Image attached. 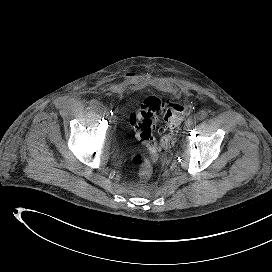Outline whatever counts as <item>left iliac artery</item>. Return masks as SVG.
Returning <instances> with one entry per match:
<instances>
[{
	"label": "left iliac artery",
	"instance_id": "1",
	"mask_svg": "<svg viewBox=\"0 0 272 272\" xmlns=\"http://www.w3.org/2000/svg\"><path fill=\"white\" fill-rule=\"evenodd\" d=\"M206 116H207V113L205 111H201L198 114H196L194 118L197 120H202L206 118Z\"/></svg>",
	"mask_w": 272,
	"mask_h": 272
}]
</instances>
